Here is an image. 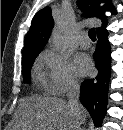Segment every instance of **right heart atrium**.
Segmentation results:
<instances>
[{
    "instance_id": "right-heart-atrium-1",
    "label": "right heart atrium",
    "mask_w": 123,
    "mask_h": 130,
    "mask_svg": "<svg viewBox=\"0 0 123 130\" xmlns=\"http://www.w3.org/2000/svg\"><path fill=\"white\" fill-rule=\"evenodd\" d=\"M37 69L50 93L62 95L78 86V78L69 58L53 49L44 50L39 56Z\"/></svg>"
}]
</instances>
